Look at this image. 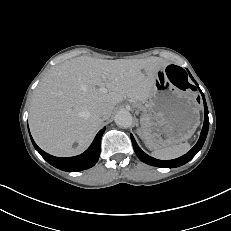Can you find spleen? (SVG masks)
<instances>
[{
    "label": "spleen",
    "mask_w": 231,
    "mask_h": 231,
    "mask_svg": "<svg viewBox=\"0 0 231 231\" xmlns=\"http://www.w3.org/2000/svg\"><path fill=\"white\" fill-rule=\"evenodd\" d=\"M190 147V144L187 142L180 143L178 145L155 149L152 152V155L161 160L175 159L187 153L190 150Z\"/></svg>",
    "instance_id": "1"
}]
</instances>
